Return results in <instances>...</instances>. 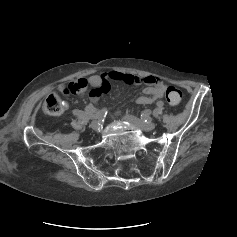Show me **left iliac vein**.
I'll return each instance as SVG.
<instances>
[{"instance_id": "4c4485c4", "label": "left iliac vein", "mask_w": 237, "mask_h": 237, "mask_svg": "<svg viewBox=\"0 0 237 237\" xmlns=\"http://www.w3.org/2000/svg\"><path fill=\"white\" fill-rule=\"evenodd\" d=\"M123 118L143 131H152L156 127V124L154 122L146 123L132 115L125 114L123 115Z\"/></svg>"}]
</instances>
